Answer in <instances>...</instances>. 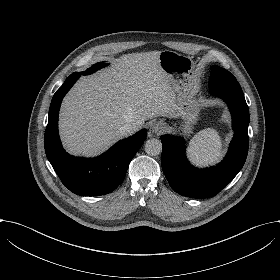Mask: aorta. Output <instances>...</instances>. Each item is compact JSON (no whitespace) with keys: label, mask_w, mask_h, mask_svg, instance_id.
<instances>
[{"label":"aorta","mask_w":280,"mask_h":280,"mask_svg":"<svg viewBox=\"0 0 280 280\" xmlns=\"http://www.w3.org/2000/svg\"><path fill=\"white\" fill-rule=\"evenodd\" d=\"M145 152L148 155L156 156L162 152V143L157 138L148 139L145 142Z\"/></svg>","instance_id":"1"}]
</instances>
